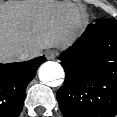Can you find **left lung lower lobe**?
I'll list each match as a JSON object with an SVG mask.
<instances>
[{
  "label": "left lung lower lobe",
  "instance_id": "left-lung-lower-lobe-1",
  "mask_svg": "<svg viewBox=\"0 0 117 117\" xmlns=\"http://www.w3.org/2000/svg\"><path fill=\"white\" fill-rule=\"evenodd\" d=\"M65 81L57 91L65 117L117 114V21L98 19L61 56Z\"/></svg>",
  "mask_w": 117,
  "mask_h": 117
}]
</instances>
